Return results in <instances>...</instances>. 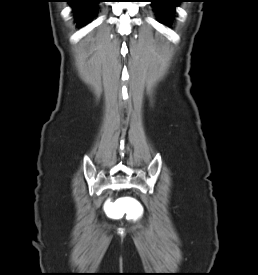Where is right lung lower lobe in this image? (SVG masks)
Segmentation results:
<instances>
[{
	"mask_svg": "<svg viewBox=\"0 0 258 275\" xmlns=\"http://www.w3.org/2000/svg\"><path fill=\"white\" fill-rule=\"evenodd\" d=\"M100 0H70L71 6L77 11L78 24L91 21L96 11V4Z\"/></svg>",
	"mask_w": 258,
	"mask_h": 275,
	"instance_id": "98d812e1",
	"label": "right lung lower lobe"
}]
</instances>
